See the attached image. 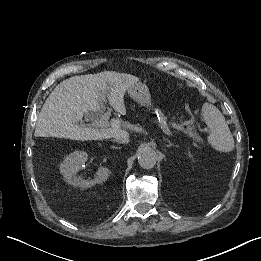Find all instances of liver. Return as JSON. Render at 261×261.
<instances>
[{
    "mask_svg": "<svg viewBox=\"0 0 261 261\" xmlns=\"http://www.w3.org/2000/svg\"><path fill=\"white\" fill-rule=\"evenodd\" d=\"M138 81L134 75L109 71L62 81L43 104L34 136L82 141L116 137L120 131H125L120 119H112L110 128H97L84 124L82 118L96 119L95 113L105 97L116 112L126 115L124 94Z\"/></svg>",
    "mask_w": 261,
    "mask_h": 261,
    "instance_id": "liver-1",
    "label": "liver"
}]
</instances>
